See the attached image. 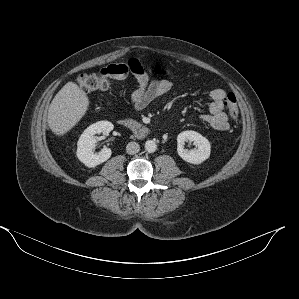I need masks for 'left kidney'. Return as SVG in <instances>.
I'll return each instance as SVG.
<instances>
[{"mask_svg": "<svg viewBox=\"0 0 299 299\" xmlns=\"http://www.w3.org/2000/svg\"><path fill=\"white\" fill-rule=\"evenodd\" d=\"M186 141H193L197 148L188 150L184 147ZM177 151L179 156L191 164H201L210 156L211 145L207 138L196 131H183L177 136Z\"/></svg>", "mask_w": 299, "mask_h": 299, "instance_id": "1", "label": "left kidney"}]
</instances>
